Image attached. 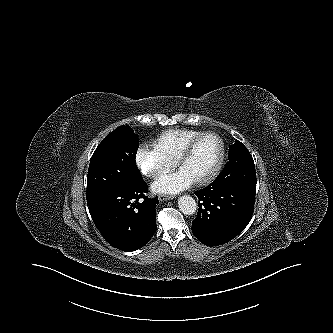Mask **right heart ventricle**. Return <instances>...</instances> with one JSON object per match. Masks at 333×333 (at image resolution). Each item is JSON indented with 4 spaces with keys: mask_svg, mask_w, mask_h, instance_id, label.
<instances>
[{
    "mask_svg": "<svg viewBox=\"0 0 333 333\" xmlns=\"http://www.w3.org/2000/svg\"><path fill=\"white\" fill-rule=\"evenodd\" d=\"M202 131L174 129L162 133L153 142L154 149L162 156L176 162L185 146Z\"/></svg>",
    "mask_w": 333,
    "mask_h": 333,
    "instance_id": "e07e8e85",
    "label": "right heart ventricle"
}]
</instances>
